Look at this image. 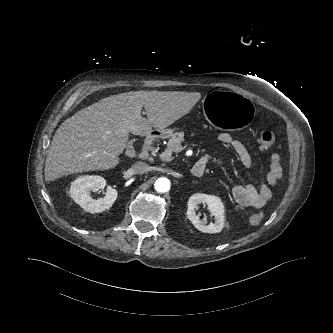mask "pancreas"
<instances>
[{"label":"pancreas","mask_w":333,"mask_h":333,"mask_svg":"<svg viewBox=\"0 0 333 333\" xmlns=\"http://www.w3.org/2000/svg\"><path fill=\"white\" fill-rule=\"evenodd\" d=\"M183 140H184V132L181 131L172 134L167 144V148L165 149V152L161 155V158L164 161L171 160V154L179 151V149L181 148L180 144Z\"/></svg>","instance_id":"cf45deb5"}]
</instances>
